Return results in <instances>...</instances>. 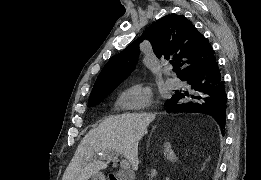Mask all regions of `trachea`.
I'll return each mask as SVG.
<instances>
[{"mask_svg":"<svg viewBox=\"0 0 261 180\" xmlns=\"http://www.w3.org/2000/svg\"><path fill=\"white\" fill-rule=\"evenodd\" d=\"M173 71L177 72L178 71V67H173Z\"/></svg>","mask_w":261,"mask_h":180,"instance_id":"3493384b","label":"trachea"}]
</instances>
